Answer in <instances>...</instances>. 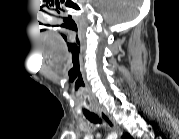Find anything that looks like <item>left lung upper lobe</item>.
Returning <instances> with one entry per match:
<instances>
[{
	"label": "left lung upper lobe",
	"mask_w": 179,
	"mask_h": 139,
	"mask_svg": "<svg viewBox=\"0 0 179 139\" xmlns=\"http://www.w3.org/2000/svg\"><path fill=\"white\" fill-rule=\"evenodd\" d=\"M126 137H127L128 139H130V138H131V136H130L129 134H126Z\"/></svg>",
	"instance_id": "left-lung-upper-lobe-1"
}]
</instances>
